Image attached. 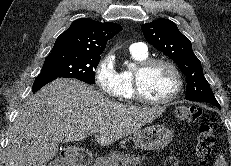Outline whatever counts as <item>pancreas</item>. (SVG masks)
<instances>
[{"label": "pancreas", "mask_w": 231, "mask_h": 166, "mask_svg": "<svg viewBox=\"0 0 231 166\" xmlns=\"http://www.w3.org/2000/svg\"><path fill=\"white\" fill-rule=\"evenodd\" d=\"M144 159V158H142ZM141 161L140 156L112 151L108 156L98 157L92 166H137Z\"/></svg>", "instance_id": "1"}]
</instances>
